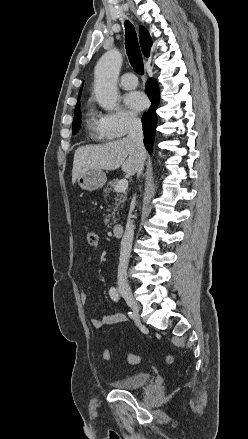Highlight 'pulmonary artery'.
I'll use <instances>...</instances> for the list:
<instances>
[{
  "instance_id": "pulmonary-artery-1",
  "label": "pulmonary artery",
  "mask_w": 248,
  "mask_h": 439,
  "mask_svg": "<svg viewBox=\"0 0 248 439\" xmlns=\"http://www.w3.org/2000/svg\"><path fill=\"white\" fill-rule=\"evenodd\" d=\"M120 85L126 90L134 89L138 85V80L133 73L128 72L121 76Z\"/></svg>"
}]
</instances>
